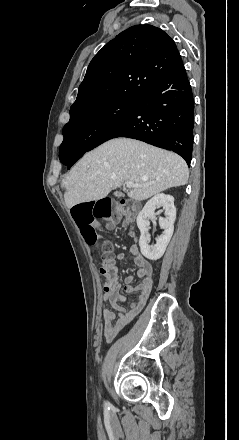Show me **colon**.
Listing matches in <instances>:
<instances>
[{
    "mask_svg": "<svg viewBox=\"0 0 239 440\" xmlns=\"http://www.w3.org/2000/svg\"><path fill=\"white\" fill-rule=\"evenodd\" d=\"M138 208L137 204L129 201L113 203L109 199H101L97 202L74 206L72 216L84 240L88 244L94 245L98 240L96 220L104 219L108 222L109 227H112L131 219L137 213ZM100 272L107 279H113L118 273L114 255L108 246L102 254Z\"/></svg>",
    "mask_w": 239,
    "mask_h": 440,
    "instance_id": "colon-1",
    "label": "colon"
}]
</instances>
